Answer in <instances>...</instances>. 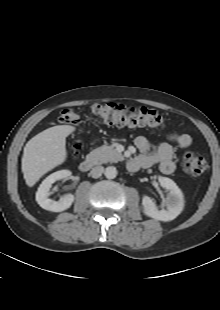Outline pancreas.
Segmentation results:
<instances>
[{
	"label": "pancreas",
	"instance_id": "1",
	"mask_svg": "<svg viewBox=\"0 0 220 310\" xmlns=\"http://www.w3.org/2000/svg\"><path fill=\"white\" fill-rule=\"evenodd\" d=\"M88 158L95 164H103L107 162H118L123 160L122 154L118 153L113 147L101 146L88 154Z\"/></svg>",
	"mask_w": 220,
	"mask_h": 310
}]
</instances>
